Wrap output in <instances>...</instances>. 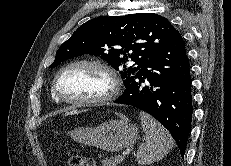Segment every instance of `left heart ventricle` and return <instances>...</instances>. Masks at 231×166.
<instances>
[{"instance_id":"b2bd125f","label":"left heart ventricle","mask_w":231,"mask_h":166,"mask_svg":"<svg viewBox=\"0 0 231 166\" xmlns=\"http://www.w3.org/2000/svg\"><path fill=\"white\" fill-rule=\"evenodd\" d=\"M110 86L108 76L89 65L74 66L59 78V89L69 99H87L103 95Z\"/></svg>"}]
</instances>
